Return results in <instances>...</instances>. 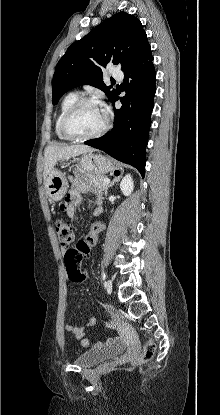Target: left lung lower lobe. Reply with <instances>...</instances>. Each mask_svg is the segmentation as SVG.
<instances>
[{
  "label": "left lung lower lobe",
  "instance_id": "obj_1",
  "mask_svg": "<svg viewBox=\"0 0 220 415\" xmlns=\"http://www.w3.org/2000/svg\"><path fill=\"white\" fill-rule=\"evenodd\" d=\"M153 57L124 71V97L110 99L114 105L120 99L122 107H114V127L104 136L88 140L85 144L103 150L115 159L138 169L145 174V149L148 143L151 112L156 91V72Z\"/></svg>",
  "mask_w": 220,
  "mask_h": 415
}]
</instances>
